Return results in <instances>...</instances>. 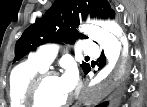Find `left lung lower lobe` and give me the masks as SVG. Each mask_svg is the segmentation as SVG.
Here are the masks:
<instances>
[{
    "mask_svg": "<svg viewBox=\"0 0 147 107\" xmlns=\"http://www.w3.org/2000/svg\"><path fill=\"white\" fill-rule=\"evenodd\" d=\"M98 61H99V67H100V68H102V67L105 66V64H106V59H105V56H104L103 53L101 54V57L98 59ZM90 69H91V68H89V69L85 72V74L89 73V72H90ZM120 92H122V90H121ZM96 107H107V103L104 102V103H102V104H100V105H98V106H96Z\"/></svg>",
    "mask_w": 147,
    "mask_h": 107,
    "instance_id": "obj_1",
    "label": "left lung lower lobe"
}]
</instances>
